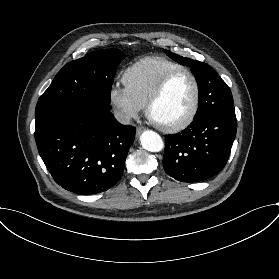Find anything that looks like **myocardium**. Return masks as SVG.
Wrapping results in <instances>:
<instances>
[{
    "label": "myocardium",
    "instance_id": "obj_1",
    "mask_svg": "<svg viewBox=\"0 0 279 279\" xmlns=\"http://www.w3.org/2000/svg\"><path fill=\"white\" fill-rule=\"evenodd\" d=\"M182 74H187L192 79L194 88H195L194 100H193L190 110L181 120H179L175 123H162V122L157 121L152 115L153 106L164 94V92L166 91V89L168 88L170 83L175 78H177L178 76H180ZM200 100H201V88H200V84H199L197 77L189 69L177 70V71L167 74L160 81V83L157 85V87L153 90V92L151 93V95L147 101V115L152 121H154L163 130H165L167 132H177V131H180V130L188 127L193 122V120L195 119V117L199 111Z\"/></svg>",
    "mask_w": 279,
    "mask_h": 279
}]
</instances>
